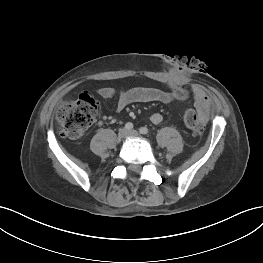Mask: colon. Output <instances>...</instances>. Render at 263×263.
Here are the masks:
<instances>
[{
	"label": "colon",
	"instance_id": "obj_1",
	"mask_svg": "<svg viewBox=\"0 0 263 263\" xmlns=\"http://www.w3.org/2000/svg\"><path fill=\"white\" fill-rule=\"evenodd\" d=\"M178 100H186L188 93L185 89H174ZM97 110V103L88 94H82L76 101L62 105L56 114V119L61 127V135L66 138L76 139L81 137L93 124ZM185 125L196 136L204 132V122L194 109H187L184 113Z\"/></svg>",
	"mask_w": 263,
	"mask_h": 263
}]
</instances>
